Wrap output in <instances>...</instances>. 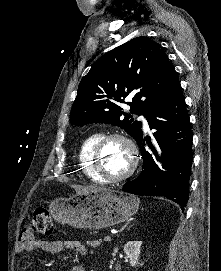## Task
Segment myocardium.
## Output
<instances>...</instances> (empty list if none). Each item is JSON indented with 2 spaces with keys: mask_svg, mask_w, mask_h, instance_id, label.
I'll list each match as a JSON object with an SVG mask.
<instances>
[{
  "mask_svg": "<svg viewBox=\"0 0 221 271\" xmlns=\"http://www.w3.org/2000/svg\"><path fill=\"white\" fill-rule=\"evenodd\" d=\"M105 133L106 137L99 138L97 141L98 145L95 146L96 150L91 154L90 159L94 163L95 172H98L101 178H105V183H122V178H128L137 167H140V162H138V147L131 144V140L133 139L124 130H111ZM109 142H120L121 150H126V153L123 154L124 160L127 164H130L125 172L118 175V177L107 176L103 166L100 164V156L103 155V150L106 149L105 145H109Z\"/></svg>",
  "mask_w": 221,
  "mask_h": 271,
  "instance_id": "obj_1",
  "label": "myocardium"
}]
</instances>
